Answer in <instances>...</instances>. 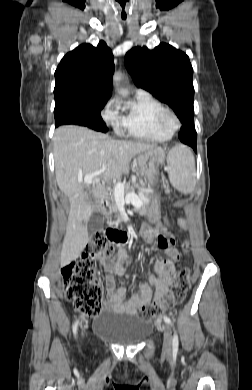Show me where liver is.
<instances>
[{
  "mask_svg": "<svg viewBox=\"0 0 252 390\" xmlns=\"http://www.w3.org/2000/svg\"><path fill=\"white\" fill-rule=\"evenodd\" d=\"M160 150L152 144L114 140L86 127L66 125L54 134V160L59 189L69 197L70 212L61 250V266L75 260L89 241L87 224L107 196L103 185L90 187L79 178L106 168V178L120 179L129 172L134 156ZM91 197L95 199L92 203Z\"/></svg>",
  "mask_w": 252,
  "mask_h": 390,
  "instance_id": "liver-1",
  "label": "liver"
}]
</instances>
